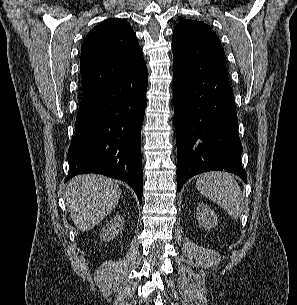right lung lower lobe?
Here are the masks:
<instances>
[{"label": "right lung lower lobe", "instance_id": "98d812e1", "mask_svg": "<svg viewBox=\"0 0 297 305\" xmlns=\"http://www.w3.org/2000/svg\"><path fill=\"white\" fill-rule=\"evenodd\" d=\"M147 67L82 95L68 150L67 180L99 173L128 183L142 201L141 128Z\"/></svg>", "mask_w": 297, "mask_h": 305}]
</instances>
